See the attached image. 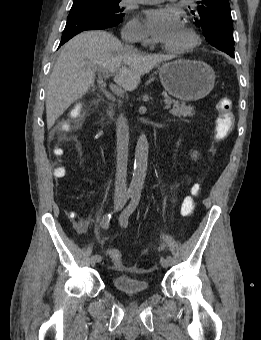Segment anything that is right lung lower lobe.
Listing matches in <instances>:
<instances>
[{"label":"right lung lower lobe","mask_w":261,"mask_h":340,"mask_svg":"<svg viewBox=\"0 0 261 340\" xmlns=\"http://www.w3.org/2000/svg\"><path fill=\"white\" fill-rule=\"evenodd\" d=\"M114 27L108 21L85 12L69 13L67 23L62 34L60 45L67 42L76 34L86 30H101Z\"/></svg>","instance_id":"98d812e1"}]
</instances>
